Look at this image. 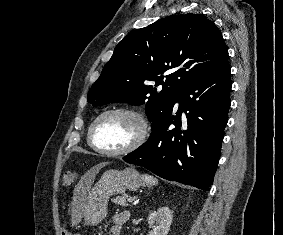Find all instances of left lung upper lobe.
I'll return each instance as SVG.
<instances>
[{
    "label": "left lung upper lobe",
    "mask_w": 283,
    "mask_h": 235,
    "mask_svg": "<svg viewBox=\"0 0 283 235\" xmlns=\"http://www.w3.org/2000/svg\"><path fill=\"white\" fill-rule=\"evenodd\" d=\"M228 58L220 30L204 15L168 16L131 32L116 46L89 90L88 102L93 106L145 103L153 130L172 112L186 83Z\"/></svg>",
    "instance_id": "5c2ea615"
}]
</instances>
